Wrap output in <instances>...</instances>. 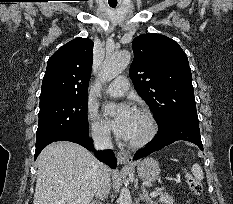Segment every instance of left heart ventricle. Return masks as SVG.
<instances>
[{
    "label": "left heart ventricle",
    "mask_w": 233,
    "mask_h": 204,
    "mask_svg": "<svg viewBox=\"0 0 233 204\" xmlns=\"http://www.w3.org/2000/svg\"><path fill=\"white\" fill-rule=\"evenodd\" d=\"M147 130L148 125L144 116L134 112L130 123L129 136L127 140H138L146 134Z\"/></svg>",
    "instance_id": "obj_1"
}]
</instances>
